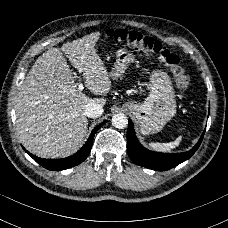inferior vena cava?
<instances>
[{"mask_svg": "<svg viewBox=\"0 0 228 228\" xmlns=\"http://www.w3.org/2000/svg\"><path fill=\"white\" fill-rule=\"evenodd\" d=\"M103 107L95 101H89L85 107L84 114L90 118H96L102 115Z\"/></svg>", "mask_w": 228, "mask_h": 228, "instance_id": "obj_1", "label": "inferior vena cava"}]
</instances>
